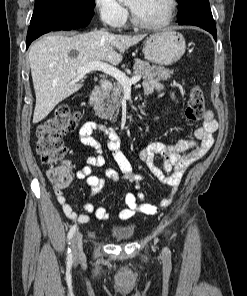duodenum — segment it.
<instances>
[{"mask_svg":"<svg viewBox=\"0 0 247 296\" xmlns=\"http://www.w3.org/2000/svg\"><path fill=\"white\" fill-rule=\"evenodd\" d=\"M112 88V84L110 81L106 79H102L98 82L96 87L91 93L89 105L91 110H95L96 105L98 101L106 94L108 93Z\"/></svg>","mask_w":247,"mask_h":296,"instance_id":"obj_1","label":"duodenum"}]
</instances>
